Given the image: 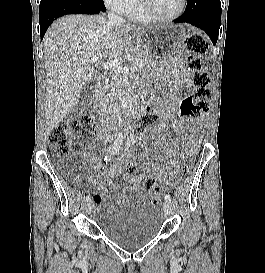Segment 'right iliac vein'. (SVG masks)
I'll list each match as a JSON object with an SVG mask.
<instances>
[{"instance_id": "63e3f726", "label": "right iliac vein", "mask_w": 265, "mask_h": 273, "mask_svg": "<svg viewBox=\"0 0 265 273\" xmlns=\"http://www.w3.org/2000/svg\"><path fill=\"white\" fill-rule=\"evenodd\" d=\"M92 209H93V204L91 202L87 203V205H86V212L88 214H90L92 212Z\"/></svg>"}]
</instances>
